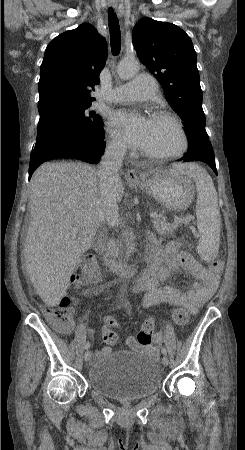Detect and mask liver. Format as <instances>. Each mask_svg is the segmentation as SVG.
Masks as SVG:
<instances>
[{
	"mask_svg": "<svg viewBox=\"0 0 245 450\" xmlns=\"http://www.w3.org/2000/svg\"><path fill=\"white\" fill-rule=\"evenodd\" d=\"M124 194L119 180L117 202ZM106 219L96 170L84 163L41 165L31 179L30 224L24 241L27 274L43 302L57 306L71 275ZM79 228V234L70 230Z\"/></svg>",
	"mask_w": 245,
	"mask_h": 450,
	"instance_id": "liver-1",
	"label": "liver"
}]
</instances>
